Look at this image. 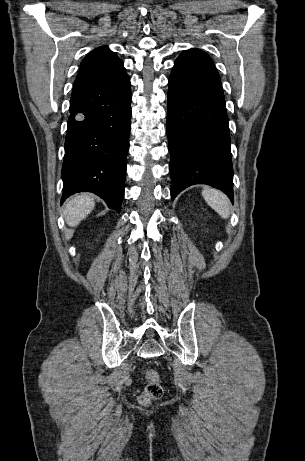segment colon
Wrapping results in <instances>:
<instances>
[{
  "instance_id": "5ec220e1",
  "label": "colon",
  "mask_w": 305,
  "mask_h": 461,
  "mask_svg": "<svg viewBox=\"0 0 305 461\" xmlns=\"http://www.w3.org/2000/svg\"><path fill=\"white\" fill-rule=\"evenodd\" d=\"M143 376L146 380V386L139 397V401L142 405H148L152 401L160 399L164 390L160 375L156 370H147Z\"/></svg>"
}]
</instances>
